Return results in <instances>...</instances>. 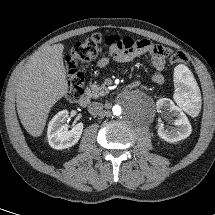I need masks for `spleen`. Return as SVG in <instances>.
I'll use <instances>...</instances> for the list:
<instances>
[{"instance_id":"spleen-1","label":"spleen","mask_w":215,"mask_h":215,"mask_svg":"<svg viewBox=\"0 0 215 215\" xmlns=\"http://www.w3.org/2000/svg\"><path fill=\"white\" fill-rule=\"evenodd\" d=\"M174 76V100L186 112H196L200 105V92L190 71L184 65H178Z\"/></svg>"}]
</instances>
